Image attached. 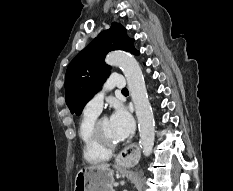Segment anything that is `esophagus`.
I'll use <instances>...</instances> for the list:
<instances>
[{"instance_id":"1","label":"esophagus","mask_w":233,"mask_h":191,"mask_svg":"<svg viewBox=\"0 0 233 191\" xmlns=\"http://www.w3.org/2000/svg\"><path fill=\"white\" fill-rule=\"evenodd\" d=\"M139 148L136 144H131L125 147L116 157V162L132 164L134 163L139 156Z\"/></svg>"}]
</instances>
